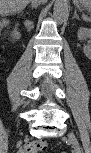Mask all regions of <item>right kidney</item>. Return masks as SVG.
Wrapping results in <instances>:
<instances>
[{"label":"right kidney","instance_id":"obj_1","mask_svg":"<svg viewBox=\"0 0 91 153\" xmlns=\"http://www.w3.org/2000/svg\"><path fill=\"white\" fill-rule=\"evenodd\" d=\"M12 36L14 39H19L20 38V34L17 32L12 33Z\"/></svg>","mask_w":91,"mask_h":153}]
</instances>
